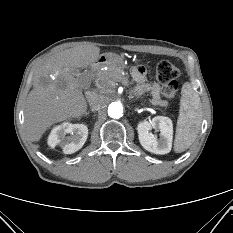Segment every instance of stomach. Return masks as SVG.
<instances>
[{
	"mask_svg": "<svg viewBox=\"0 0 233 233\" xmlns=\"http://www.w3.org/2000/svg\"><path fill=\"white\" fill-rule=\"evenodd\" d=\"M96 62V64L100 66L107 65L108 67H117L121 69L125 67L124 57L112 52L100 55Z\"/></svg>",
	"mask_w": 233,
	"mask_h": 233,
	"instance_id": "obj_1",
	"label": "stomach"
}]
</instances>
